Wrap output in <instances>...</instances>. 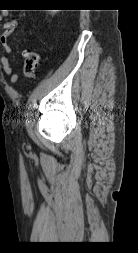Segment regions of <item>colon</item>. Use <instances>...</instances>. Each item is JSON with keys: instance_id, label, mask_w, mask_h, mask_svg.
Wrapping results in <instances>:
<instances>
[{"instance_id": "5ec220e1", "label": "colon", "mask_w": 138, "mask_h": 253, "mask_svg": "<svg viewBox=\"0 0 138 253\" xmlns=\"http://www.w3.org/2000/svg\"><path fill=\"white\" fill-rule=\"evenodd\" d=\"M40 62H41V59L38 53L33 52V51H26L25 63L23 66L24 77L27 79L34 78L37 73Z\"/></svg>"}]
</instances>
